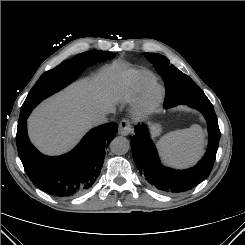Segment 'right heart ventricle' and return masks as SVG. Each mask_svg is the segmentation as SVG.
<instances>
[{
  "label": "right heart ventricle",
  "mask_w": 245,
  "mask_h": 245,
  "mask_svg": "<svg viewBox=\"0 0 245 245\" xmlns=\"http://www.w3.org/2000/svg\"><path fill=\"white\" fill-rule=\"evenodd\" d=\"M155 77L147 71H141L136 78L134 91L136 94L144 92L150 85L154 84Z\"/></svg>",
  "instance_id": "obj_1"
}]
</instances>
